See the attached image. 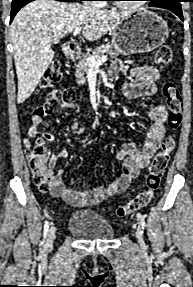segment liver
<instances>
[{"mask_svg":"<svg viewBox=\"0 0 193 287\" xmlns=\"http://www.w3.org/2000/svg\"><path fill=\"white\" fill-rule=\"evenodd\" d=\"M130 14V11L99 10L86 3L55 0H35L23 7L11 24L17 102L23 103L41 81L54 58L52 43L79 27L88 41H95Z\"/></svg>","mask_w":193,"mask_h":287,"instance_id":"liver-1","label":"liver"}]
</instances>
